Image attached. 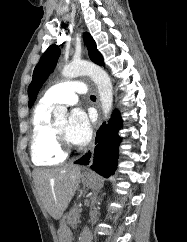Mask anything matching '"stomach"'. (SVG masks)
I'll return each mask as SVG.
<instances>
[{
  "label": "stomach",
  "mask_w": 187,
  "mask_h": 242,
  "mask_svg": "<svg viewBox=\"0 0 187 242\" xmlns=\"http://www.w3.org/2000/svg\"><path fill=\"white\" fill-rule=\"evenodd\" d=\"M81 181L83 185L91 189H99L102 186L101 179L94 173L85 172L81 175ZM68 215H65L60 220V225L58 229L59 242H72V232L67 225Z\"/></svg>",
  "instance_id": "stomach-1"
}]
</instances>
